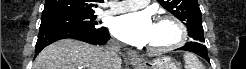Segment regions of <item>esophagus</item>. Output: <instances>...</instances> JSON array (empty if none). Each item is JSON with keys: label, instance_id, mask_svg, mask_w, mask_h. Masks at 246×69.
Returning a JSON list of instances; mask_svg holds the SVG:
<instances>
[{"label": "esophagus", "instance_id": "34e87169", "mask_svg": "<svg viewBox=\"0 0 246 69\" xmlns=\"http://www.w3.org/2000/svg\"><path fill=\"white\" fill-rule=\"evenodd\" d=\"M126 54L130 62L137 61L139 59L138 53L135 50L127 49Z\"/></svg>", "mask_w": 246, "mask_h": 69}]
</instances>
